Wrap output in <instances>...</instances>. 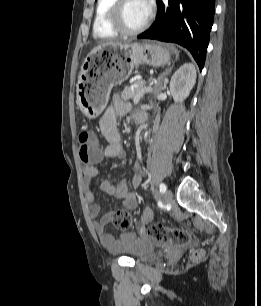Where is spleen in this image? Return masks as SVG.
<instances>
[{
    "label": "spleen",
    "mask_w": 261,
    "mask_h": 306,
    "mask_svg": "<svg viewBox=\"0 0 261 306\" xmlns=\"http://www.w3.org/2000/svg\"><path fill=\"white\" fill-rule=\"evenodd\" d=\"M172 52L176 54V59L178 58L179 52L175 48H171Z\"/></svg>",
    "instance_id": "obj_1"
}]
</instances>
